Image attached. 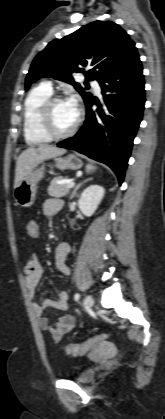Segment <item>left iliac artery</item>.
I'll return each instance as SVG.
<instances>
[{
	"mask_svg": "<svg viewBox=\"0 0 165 419\" xmlns=\"http://www.w3.org/2000/svg\"><path fill=\"white\" fill-rule=\"evenodd\" d=\"M79 298H80V294H79V293H76V294L74 295V299H75V301H78V300H79Z\"/></svg>",
	"mask_w": 165,
	"mask_h": 419,
	"instance_id": "left-iliac-artery-1",
	"label": "left iliac artery"
}]
</instances>
